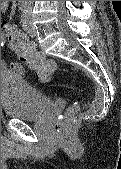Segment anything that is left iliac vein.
I'll return each instance as SVG.
<instances>
[{
  "instance_id": "left-iliac-vein-1",
  "label": "left iliac vein",
  "mask_w": 121,
  "mask_h": 169,
  "mask_svg": "<svg viewBox=\"0 0 121 169\" xmlns=\"http://www.w3.org/2000/svg\"><path fill=\"white\" fill-rule=\"evenodd\" d=\"M26 31H27L29 36H31V37H35L36 36V30H35V28H34V26L32 24L30 16H28V19H27Z\"/></svg>"
}]
</instances>
